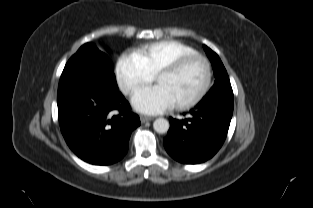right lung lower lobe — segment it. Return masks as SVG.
<instances>
[{
    "mask_svg": "<svg viewBox=\"0 0 313 208\" xmlns=\"http://www.w3.org/2000/svg\"><path fill=\"white\" fill-rule=\"evenodd\" d=\"M57 104L66 143L90 164L109 165L122 159L132 131L140 125L119 92L113 71L89 56L64 68Z\"/></svg>",
    "mask_w": 313,
    "mask_h": 208,
    "instance_id": "obj_1",
    "label": "right lung lower lobe"
}]
</instances>
